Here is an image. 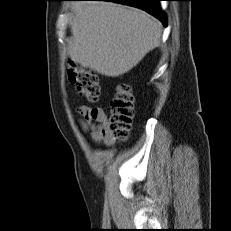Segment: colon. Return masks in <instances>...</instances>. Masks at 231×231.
<instances>
[{"label":"colon","instance_id":"colon-1","mask_svg":"<svg viewBox=\"0 0 231 231\" xmlns=\"http://www.w3.org/2000/svg\"><path fill=\"white\" fill-rule=\"evenodd\" d=\"M69 81L77 91L90 101H96L100 94L99 79L89 68L72 66L68 70ZM134 117V98L131 89L121 84L111 103L110 129L118 139H125L130 131Z\"/></svg>","mask_w":231,"mask_h":231}]
</instances>
